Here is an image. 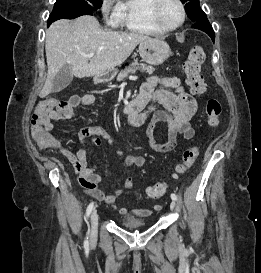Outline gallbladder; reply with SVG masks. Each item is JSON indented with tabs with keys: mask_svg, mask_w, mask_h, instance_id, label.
Segmentation results:
<instances>
[{
	"mask_svg": "<svg viewBox=\"0 0 261 273\" xmlns=\"http://www.w3.org/2000/svg\"><path fill=\"white\" fill-rule=\"evenodd\" d=\"M72 79V67L66 64L59 70L53 80V92H60L65 89L71 83Z\"/></svg>",
	"mask_w": 261,
	"mask_h": 273,
	"instance_id": "bac80fb5",
	"label": "gallbladder"
}]
</instances>
